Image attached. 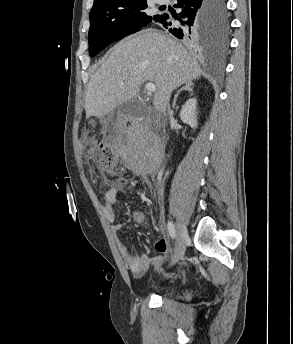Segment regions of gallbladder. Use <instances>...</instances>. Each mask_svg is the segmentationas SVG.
<instances>
[{
	"label": "gallbladder",
	"mask_w": 293,
	"mask_h": 344,
	"mask_svg": "<svg viewBox=\"0 0 293 344\" xmlns=\"http://www.w3.org/2000/svg\"><path fill=\"white\" fill-rule=\"evenodd\" d=\"M140 103L135 102H128L124 103L122 105H118L117 111L118 113H124V114H132V115H138L140 113Z\"/></svg>",
	"instance_id": "bac80fb5"
}]
</instances>
